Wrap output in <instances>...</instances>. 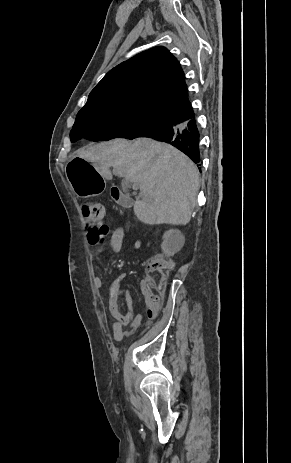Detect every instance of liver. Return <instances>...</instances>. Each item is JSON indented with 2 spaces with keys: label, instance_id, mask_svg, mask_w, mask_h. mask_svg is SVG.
I'll return each mask as SVG.
<instances>
[{
  "label": "liver",
  "instance_id": "liver-1",
  "mask_svg": "<svg viewBox=\"0 0 291 463\" xmlns=\"http://www.w3.org/2000/svg\"><path fill=\"white\" fill-rule=\"evenodd\" d=\"M78 158L91 162L111 180L113 173L137 183L142 195L134 213L149 225H186L190 222L199 190L194 163L173 146L149 138L131 142L114 139L80 149Z\"/></svg>",
  "mask_w": 291,
  "mask_h": 463
}]
</instances>
